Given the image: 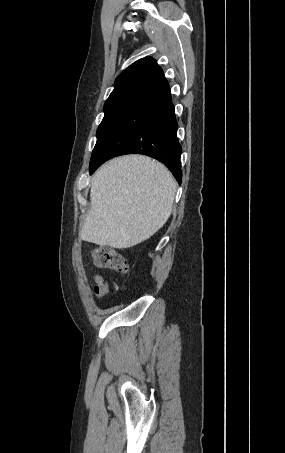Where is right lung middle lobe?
<instances>
[{"label": "right lung middle lobe", "mask_w": 285, "mask_h": 453, "mask_svg": "<svg viewBox=\"0 0 285 453\" xmlns=\"http://www.w3.org/2000/svg\"><path fill=\"white\" fill-rule=\"evenodd\" d=\"M127 98H117L111 101H107L104 105V112L105 115L103 117V120L101 124L99 125L97 129V142L94 147V150L92 152L91 159L93 158L95 152L97 151V148L99 147L101 140L107 131L111 121L113 120L114 116L116 115L117 111L120 109V107L123 105V103L126 101Z\"/></svg>", "instance_id": "right-lung-middle-lobe-1"}]
</instances>
